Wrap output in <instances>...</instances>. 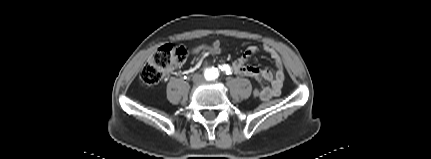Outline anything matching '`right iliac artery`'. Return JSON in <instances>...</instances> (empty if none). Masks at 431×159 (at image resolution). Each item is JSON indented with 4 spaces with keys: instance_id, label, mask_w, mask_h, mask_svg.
I'll list each match as a JSON object with an SVG mask.
<instances>
[{
    "instance_id": "82829eb1",
    "label": "right iliac artery",
    "mask_w": 431,
    "mask_h": 159,
    "mask_svg": "<svg viewBox=\"0 0 431 159\" xmlns=\"http://www.w3.org/2000/svg\"><path fill=\"white\" fill-rule=\"evenodd\" d=\"M216 71H217V69H214V68L206 69L204 72L205 78L207 80H211L213 73Z\"/></svg>"
}]
</instances>
